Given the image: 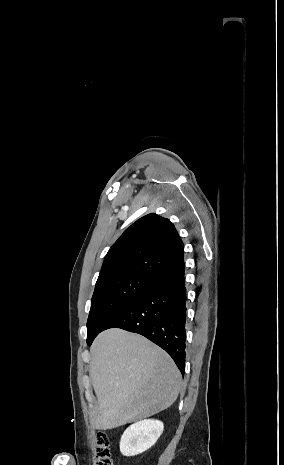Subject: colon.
I'll return each instance as SVG.
<instances>
[{
  "label": "colon",
  "mask_w": 284,
  "mask_h": 465,
  "mask_svg": "<svg viewBox=\"0 0 284 465\" xmlns=\"http://www.w3.org/2000/svg\"><path fill=\"white\" fill-rule=\"evenodd\" d=\"M109 438L107 435L97 434V461L96 465H114L108 450Z\"/></svg>",
  "instance_id": "obj_1"
}]
</instances>
